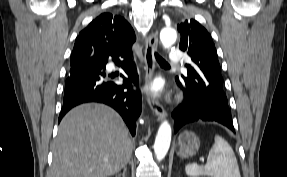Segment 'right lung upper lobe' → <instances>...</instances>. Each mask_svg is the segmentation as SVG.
I'll use <instances>...</instances> for the list:
<instances>
[{
	"label": "right lung upper lobe",
	"mask_w": 287,
	"mask_h": 177,
	"mask_svg": "<svg viewBox=\"0 0 287 177\" xmlns=\"http://www.w3.org/2000/svg\"><path fill=\"white\" fill-rule=\"evenodd\" d=\"M135 33L130 24L121 16L102 13L95 18L76 38L71 54V66L90 58L94 51L122 47L132 50Z\"/></svg>",
	"instance_id": "obj_1"
}]
</instances>
